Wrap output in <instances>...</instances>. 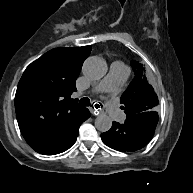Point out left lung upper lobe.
<instances>
[{"label": "left lung upper lobe", "mask_w": 193, "mask_h": 193, "mask_svg": "<svg viewBox=\"0 0 193 193\" xmlns=\"http://www.w3.org/2000/svg\"><path fill=\"white\" fill-rule=\"evenodd\" d=\"M131 66L135 72V78L121 96L127 118L140 113H144L143 116L158 115L156 112L158 97L147 81L143 65L132 61Z\"/></svg>", "instance_id": "5c2ea615"}]
</instances>
